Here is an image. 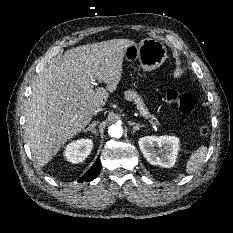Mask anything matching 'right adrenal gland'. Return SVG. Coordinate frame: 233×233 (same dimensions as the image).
<instances>
[{
    "label": "right adrenal gland",
    "instance_id": "1",
    "mask_svg": "<svg viewBox=\"0 0 233 233\" xmlns=\"http://www.w3.org/2000/svg\"><path fill=\"white\" fill-rule=\"evenodd\" d=\"M97 124H98V121H93L92 124H90L89 127L84 130V132L91 131L97 136V131L95 128Z\"/></svg>",
    "mask_w": 233,
    "mask_h": 233
}]
</instances>
